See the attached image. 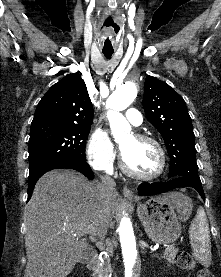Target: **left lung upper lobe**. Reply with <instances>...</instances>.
I'll list each match as a JSON object with an SVG mask.
<instances>
[{
	"instance_id": "obj_1",
	"label": "left lung upper lobe",
	"mask_w": 221,
	"mask_h": 277,
	"mask_svg": "<svg viewBox=\"0 0 221 277\" xmlns=\"http://www.w3.org/2000/svg\"><path fill=\"white\" fill-rule=\"evenodd\" d=\"M143 107L149 122L161 133L170 157L168 178L200 179L191 118L184 99L165 82L147 76Z\"/></svg>"
}]
</instances>
